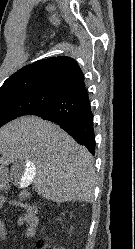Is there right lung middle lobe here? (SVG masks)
<instances>
[{"label": "right lung middle lobe", "instance_id": "dd1d6c3e", "mask_svg": "<svg viewBox=\"0 0 135 249\" xmlns=\"http://www.w3.org/2000/svg\"><path fill=\"white\" fill-rule=\"evenodd\" d=\"M59 94L52 91H32L0 95V127L19 116L28 115L32 110L53 100Z\"/></svg>", "mask_w": 135, "mask_h": 249}]
</instances>
